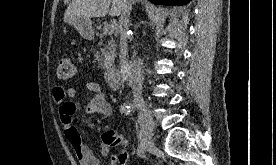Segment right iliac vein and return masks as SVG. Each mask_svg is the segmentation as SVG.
I'll return each instance as SVG.
<instances>
[{
	"label": "right iliac vein",
	"mask_w": 276,
	"mask_h": 165,
	"mask_svg": "<svg viewBox=\"0 0 276 165\" xmlns=\"http://www.w3.org/2000/svg\"><path fill=\"white\" fill-rule=\"evenodd\" d=\"M135 107L140 110V116L145 121L146 131H147V142H146V151H152L154 148L153 144V130L154 122L152 117L147 109V105L144 101L135 102Z\"/></svg>",
	"instance_id": "1"
}]
</instances>
